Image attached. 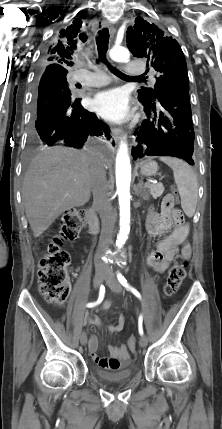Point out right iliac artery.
<instances>
[{
    "label": "right iliac artery",
    "mask_w": 222,
    "mask_h": 429,
    "mask_svg": "<svg viewBox=\"0 0 222 429\" xmlns=\"http://www.w3.org/2000/svg\"><path fill=\"white\" fill-rule=\"evenodd\" d=\"M104 293H105V287L102 285L100 287L98 300L96 302L88 303L86 306L88 308H91V307H95L96 305L100 304L104 298Z\"/></svg>",
    "instance_id": "right-iliac-artery-1"
}]
</instances>
